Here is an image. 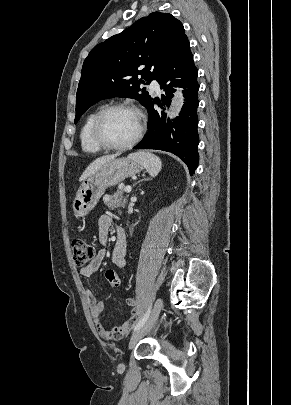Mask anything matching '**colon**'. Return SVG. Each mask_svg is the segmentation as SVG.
<instances>
[{"label": "colon", "mask_w": 291, "mask_h": 405, "mask_svg": "<svg viewBox=\"0 0 291 405\" xmlns=\"http://www.w3.org/2000/svg\"><path fill=\"white\" fill-rule=\"evenodd\" d=\"M73 261L77 267H83L94 258V248L83 239L72 241ZM106 279L110 285L118 287L121 284L120 274L109 269L106 271Z\"/></svg>", "instance_id": "obj_1"}]
</instances>
